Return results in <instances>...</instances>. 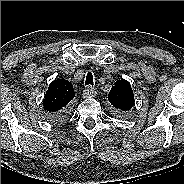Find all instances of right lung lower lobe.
Segmentation results:
<instances>
[{"label": "right lung lower lobe", "mask_w": 184, "mask_h": 184, "mask_svg": "<svg viewBox=\"0 0 184 184\" xmlns=\"http://www.w3.org/2000/svg\"><path fill=\"white\" fill-rule=\"evenodd\" d=\"M66 111H61L59 113L53 114V115H48V119L50 121H54V122H59L62 121L66 118Z\"/></svg>", "instance_id": "98d812e1"}]
</instances>
